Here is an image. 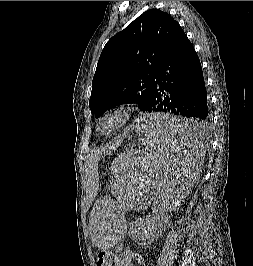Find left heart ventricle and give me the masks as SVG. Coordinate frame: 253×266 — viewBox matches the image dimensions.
<instances>
[{"instance_id":"b2bd125f","label":"left heart ventricle","mask_w":253,"mask_h":266,"mask_svg":"<svg viewBox=\"0 0 253 266\" xmlns=\"http://www.w3.org/2000/svg\"><path fill=\"white\" fill-rule=\"evenodd\" d=\"M118 123V119L116 117H107L105 118L100 125V130L103 133L110 132Z\"/></svg>"}]
</instances>
